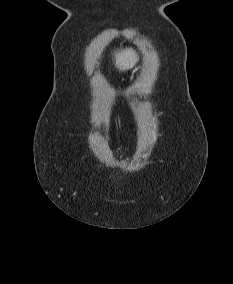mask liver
Segmentation results:
<instances>
[{
    "mask_svg": "<svg viewBox=\"0 0 233 284\" xmlns=\"http://www.w3.org/2000/svg\"><path fill=\"white\" fill-rule=\"evenodd\" d=\"M115 66L120 70H128L137 63V55L133 49H124L115 53Z\"/></svg>",
    "mask_w": 233,
    "mask_h": 284,
    "instance_id": "liver-1",
    "label": "liver"
}]
</instances>
